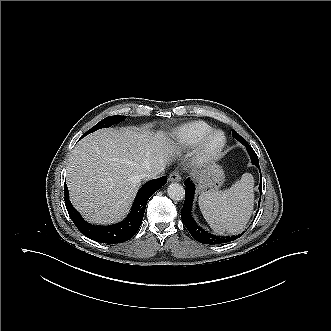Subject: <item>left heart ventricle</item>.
Returning <instances> with one entry per match:
<instances>
[{"mask_svg": "<svg viewBox=\"0 0 331 331\" xmlns=\"http://www.w3.org/2000/svg\"><path fill=\"white\" fill-rule=\"evenodd\" d=\"M219 140H220V137H219V136H216V137L214 138V143L219 142Z\"/></svg>", "mask_w": 331, "mask_h": 331, "instance_id": "b2bd125f", "label": "left heart ventricle"}]
</instances>
